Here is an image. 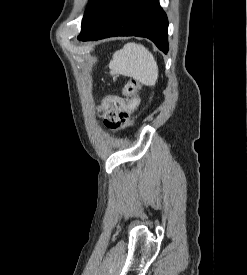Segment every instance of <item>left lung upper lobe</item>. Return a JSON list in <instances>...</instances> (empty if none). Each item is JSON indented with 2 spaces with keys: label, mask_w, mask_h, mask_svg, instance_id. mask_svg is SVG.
I'll return each mask as SVG.
<instances>
[{
  "label": "left lung upper lobe",
  "mask_w": 247,
  "mask_h": 275,
  "mask_svg": "<svg viewBox=\"0 0 247 275\" xmlns=\"http://www.w3.org/2000/svg\"><path fill=\"white\" fill-rule=\"evenodd\" d=\"M101 0H90L87 9L84 13V17L82 20V24L85 22V20L88 18V16L90 15V13L93 11V9L97 6V4L100 2Z\"/></svg>",
  "instance_id": "left-lung-upper-lobe-1"
}]
</instances>
